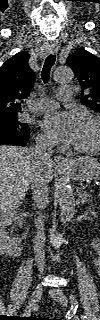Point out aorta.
<instances>
[{
    "mask_svg": "<svg viewBox=\"0 0 100 320\" xmlns=\"http://www.w3.org/2000/svg\"><path fill=\"white\" fill-rule=\"evenodd\" d=\"M73 78L72 70L67 66L58 67L54 73V80L57 83H67ZM60 206V219L68 222L73 218L75 212V198L70 186L61 182L56 191Z\"/></svg>",
    "mask_w": 100,
    "mask_h": 320,
    "instance_id": "aorta-1",
    "label": "aorta"
}]
</instances>
